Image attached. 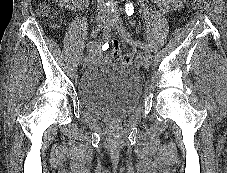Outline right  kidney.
<instances>
[{
	"label": "right kidney",
	"instance_id": "obj_1",
	"mask_svg": "<svg viewBox=\"0 0 227 173\" xmlns=\"http://www.w3.org/2000/svg\"><path fill=\"white\" fill-rule=\"evenodd\" d=\"M60 6H71V4L78 3L80 0H57Z\"/></svg>",
	"mask_w": 227,
	"mask_h": 173
}]
</instances>
